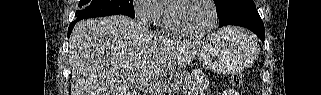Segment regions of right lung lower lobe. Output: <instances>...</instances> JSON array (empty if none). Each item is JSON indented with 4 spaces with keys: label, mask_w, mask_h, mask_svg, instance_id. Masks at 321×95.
Instances as JSON below:
<instances>
[{
    "label": "right lung lower lobe",
    "mask_w": 321,
    "mask_h": 95,
    "mask_svg": "<svg viewBox=\"0 0 321 95\" xmlns=\"http://www.w3.org/2000/svg\"><path fill=\"white\" fill-rule=\"evenodd\" d=\"M77 21L78 20H75L70 24L69 29H68V37L70 36V34L72 32V29H73V27H74V25L76 24Z\"/></svg>",
    "instance_id": "1"
}]
</instances>
